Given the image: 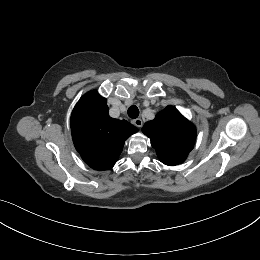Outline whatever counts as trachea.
Listing matches in <instances>:
<instances>
[{"mask_svg": "<svg viewBox=\"0 0 260 260\" xmlns=\"http://www.w3.org/2000/svg\"><path fill=\"white\" fill-rule=\"evenodd\" d=\"M128 116L135 119L139 116V109L136 105H132L128 108Z\"/></svg>", "mask_w": 260, "mask_h": 260, "instance_id": "obj_1", "label": "trachea"}]
</instances>
